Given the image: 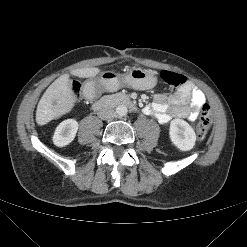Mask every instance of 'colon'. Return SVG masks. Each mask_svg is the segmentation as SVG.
I'll list each match as a JSON object with an SVG mask.
<instances>
[{
	"label": "colon",
	"instance_id": "1",
	"mask_svg": "<svg viewBox=\"0 0 247 247\" xmlns=\"http://www.w3.org/2000/svg\"><path fill=\"white\" fill-rule=\"evenodd\" d=\"M161 79L170 87L176 88L188 83V79L178 73L163 70L160 73ZM81 84L77 81L72 83V92L75 96L81 93ZM212 125V112L209 105H204L202 108L201 116L196 129V136L199 140L203 139L208 133Z\"/></svg>",
	"mask_w": 247,
	"mask_h": 247
}]
</instances>
